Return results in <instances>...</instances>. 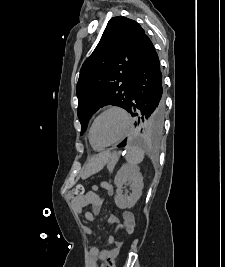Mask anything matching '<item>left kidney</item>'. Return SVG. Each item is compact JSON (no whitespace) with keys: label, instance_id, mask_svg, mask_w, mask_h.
<instances>
[{"label":"left kidney","instance_id":"1","mask_svg":"<svg viewBox=\"0 0 225 267\" xmlns=\"http://www.w3.org/2000/svg\"><path fill=\"white\" fill-rule=\"evenodd\" d=\"M114 183L117 187L115 204L120 209L132 208L142 195L143 177L138 166L123 165L115 176ZM124 184H129L132 193L130 196L122 194Z\"/></svg>","mask_w":225,"mask_h":267}]
</instances>
